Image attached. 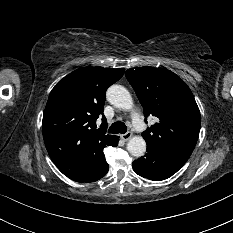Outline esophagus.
Masks as SVG:
<instances>
[{"instance_id": "34e87169", "label": "esophagus", "mask_w": 233, "mask_h": 233, "mask_svg": "<svg viewBox=\"0 0 233 233\" xmlns=\"http://www.w3.org/2000/svg\"><path fill=\"white\" fill-rule=\"evenodd\" d=\"M133 136L132 132H127L125 134H122L120 137L124 141H128Z\"/></svg>"}]
</instances>
